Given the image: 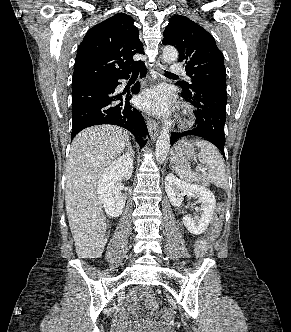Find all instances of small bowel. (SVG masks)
I'll use <instances>...</instances> for the list:
<instances>
[{
  "instance_id": "small-bowel-1",
  "label": "small bowel",
  "mask_w": 291,
  "mask_h": 332,
  "mask_svg": "<svg viewBox=\"0 0 291 332\" xmlns=\"http://www.w3.org/2000/svg\"><path fill=\"white\" fill-rule=\"evenodd\" d=\"M207 250V243L204 238H199L195 242V252L198 256H203L206 253ZM144 300L148 306V308L151 310L152 313H156L158 310L157 303L149 298L148 296L144 297ZM170 323V315L168 312H164L162 315L161 320H147L143 323L144 328H151V329H157L158 331H162L165 329ZM128 326L127 323L122 322L121 327L126 328Z\"/></svg>"
}]
</instances>
